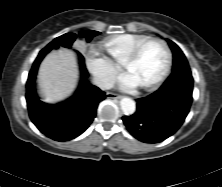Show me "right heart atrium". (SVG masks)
<instances>
[{
    "label": "right heart atrium",
    "instance_id": "d8ad5b80",
    "mask_svg": "<svg viewBox=\"0 0 222 187\" xmlns=\"http://www.w3.org/2000/svg\"><path fill=\"white\" fill-rule=\"evenodd\" d=\"M85 64L94 81L102 88L110 87L120 73V67L91 46L85 53Z\"/></svg>",
    "mask_w": 222,
    "mask_h": 187
}]
</instances>
